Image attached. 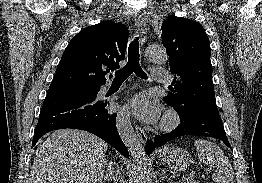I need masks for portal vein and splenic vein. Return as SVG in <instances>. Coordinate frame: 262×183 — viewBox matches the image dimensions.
Returning a JSON list of instances; mask_svg holds the SVG:
<instances>
[{
	"label": "portal vein and splenic vein",
	"mask_w": 262,
	"mask_h": 183,
	"mask_svg": "<svg viewBox=\"0 0 262 183\" xmlns=\"http://www.w3.org/2000/svg\"><path fill=\"white\" fill-rule=\"evenodd\" d=\"M211 172H212L211 169H207V170L205 171L206 174H210ZM186 180H188V179H184V181H186Z\"/></svg>",
	"instance_id": "obj_1"
}]
</instances>
